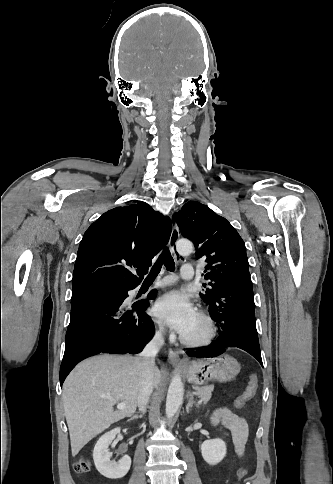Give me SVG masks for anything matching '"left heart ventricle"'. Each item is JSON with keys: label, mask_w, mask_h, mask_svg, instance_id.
<instances>
[{"label": "left heart ventricle", "mask_w": 333, "mask_h": 484, "mask_svg": "<svg viewBox=\"0 0 333 484\" xmlns=\"http://www.w3.org/2000/svg\"><path fill=\"white\" fill-rule=\"evenodd\" d=\"M206 333V326L204 322L196 316V318L192 321V323L189 325L187 330L183 333V335L186 338L189 339H200L202 338Z\"/></svg>", "instance_id": "left-heart-ventricle-1"}]
</instances>
